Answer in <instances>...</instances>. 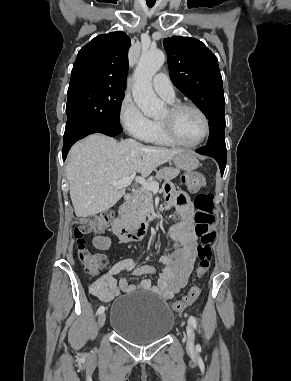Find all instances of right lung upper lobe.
<instances>
[{
	"label": "right lung upper lobe",
	"instance_id": "1",
	"mask_svg": "<svg viewBox=\"0 0 291 381\" xmlns=\"http://www.w3.org/2000/svg\"><path fill=\"white\" fill-rule=\"evenodd\" d=\"M130 38L121 31L102 34L78 52L70 85L92 84L125 88Z\"/></svg>",
	"mask_w": 291,
	"mask_h": 381
}]
</instances>
